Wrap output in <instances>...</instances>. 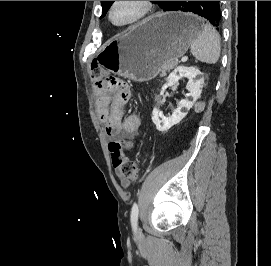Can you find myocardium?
<instances>
[{"mask_svg": "<svg viewBox=\"0 0 271 266\" xmlns=\"http://www.w3.org/2000/svg\"><path fill=\"white\" fill-rule=\"evenodd\" d=\"M120 1H112L111 5L109 6L108 9V19L109 21L116 27H132L143 20H145L152 12L153 10V2L152 1H137V3L140 5V11L139 13L130 21L125 22V23H117L113 19V10L115 6L119 3Z\"/></svg>", "mask_w": 271, "mask_h": 266, "instance_id": "myocardium-1", "label": "myocardium"}]
</instances>
